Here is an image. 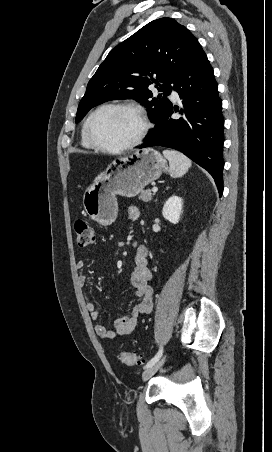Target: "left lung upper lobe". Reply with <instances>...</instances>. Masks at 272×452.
I'll return each mask as SVG.
<instances>
[{"label": "left lung upper lobe", "instance_id": "5c2ea615", "mask_svg": "<svg viewBox=\"0 0 272 452\" xmlns=\"http://www.w3.org/2000/svg\"><path fill=\"white\" fill-rule=\"evenodd\" d=\"M197 43L190 31L174 19L160 18L148 23L113 48L101 63L87 85L75 122L81 121L94 106L117 99L142 103L155 122L170 103L167 96L171 84ZM153 83L162 92L157 98H152L148 89Z\"/></svg>", "mask_w": 272, "mask_h": 452}]
</instances>
